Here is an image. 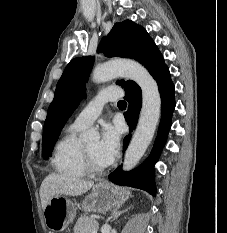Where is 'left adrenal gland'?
Wrapping results in <instances>:
<instances>
[{
  "label": "left adrenal gland",
  "mask_w": 227,
  "mask_h": 233,
  "mask_svg": "<svg viewBox=\"0 0 227 233\" xmlns=\"http://www.w3.org/2000/svg\"><path fill=\"white\" fill-rule=\"evenodd\" d=\"M128 211V209L123 210V211H119L118 209L113 210V212L111 213V216L108 218L111 222L116 220L122 213Z\"/></svg>",
  "instance_id": "left-adrenal-gland-1"
}]
</instances>
